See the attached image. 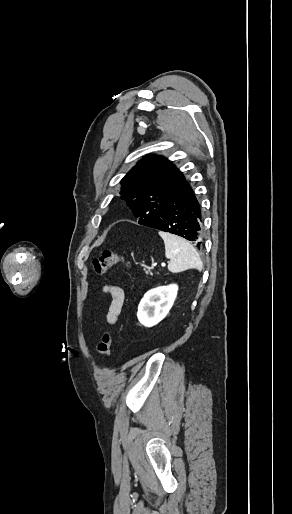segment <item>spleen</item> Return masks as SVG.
Instances as JSON below:
<instances>
[{
  "instance_id": "obj_1",
  "label": "spleen",
  "mask_w": 292,
  "mask_h": 514,
  "mask_svg": "<svg viewBox=\"0 0 292 514\" xmlns=\"http://www.w3.org/2000/svg\"><path fill=\"white\" fill-rule=\"evenodd\" d=\"M165 244V256L170 260L168 264L169 272L178 274V272H185V270H199L201 272L203 264L201 258L196 252L195 248L179 236L168 234V232H159Z\"/></svg>"
}]
</instances>
